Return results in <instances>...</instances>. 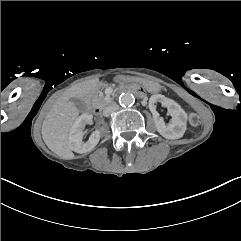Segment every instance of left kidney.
<instances>
[{"instance_id": "left-kidney-1", "label": "left kidney", "mask_w": 241, "mask_h": 241, "mask_svg": "<svg viewBox=\"0 0 241 241\" xmlns=\"http://www.w3.org/2000/svg\"><path fill=\"white\" fill-rule=\"evenodd\" d=\"M160 102L163 107L168 109V113L172 116V120L168 125L162 117H159L155 104ZM149 109L153 114L157 131L166 139L181 138L186 131L187 114L181 106L174 100L169 99L161 94L152 95L149 99Z\"/></svg>"}]
</instances>
